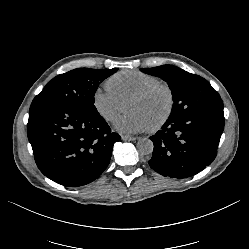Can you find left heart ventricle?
Returning a JSON list of instances; mask_svg holds the SVG:
<instances>
[{"label":"left heart ventricle","mask_w":249,"mask_h":249,"mask_svg":"<svg viewBox=\"0 0 249 249\" xmlns=\"http://www.w3.org/2000/svg\"><path fill=\"white\" fill-rule=\"evenodd\" d=\"M167 104L165 94L162 91H156L147 98L129 101L128 111L140 114L151 127L165 114Z\"/></svg>","instance_id":"left-heart-ventricle-1"}]
</instances>
